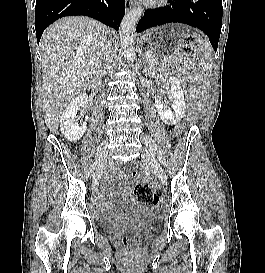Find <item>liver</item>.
<instances>
[{
  "label": "liver",
  "instance_id": "1",
  "mask_svg": "<svg viewBox=\"0 0 265 273\" xmlns=\"http://www.w3.org/2000/svg\"><path fill=\"white\" fill-rule=\"evenodd\" d=\"M107 35L102 23L82 16L62 18L43 33V110L51 132H57L62 111L99 74Z\"/></svg>",
  "mask_w": 265,
  "mask_h": 273
}]
</instances>
